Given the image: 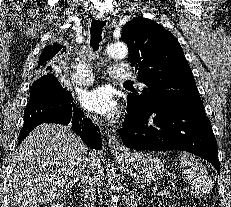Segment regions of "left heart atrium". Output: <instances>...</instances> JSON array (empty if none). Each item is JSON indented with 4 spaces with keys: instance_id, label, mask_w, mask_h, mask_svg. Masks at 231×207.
I'll return each instance as SVG.
<instances>
[{
    "instance_id": "obj_1",
    "label": "left heart atrium",
    "mask_w": 231,
    "mask_h": 207,
    "mask_svg": "<svg viewBox=\"0 0 231 207\" xmlns=\"http://www.w3.org/2000/svg\"><path fill=\"white\" fill-rule=\"evenodd\" d=\"M81 106L90 113L107 118L113 117L118 110V104L110 90L97 87L84 90L79 95Z\"/></svg>"
}]
</instances>
